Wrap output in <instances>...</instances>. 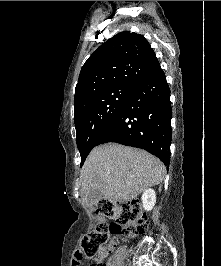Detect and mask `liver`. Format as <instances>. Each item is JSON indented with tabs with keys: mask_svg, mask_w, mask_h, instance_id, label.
Listing matches in <instances>:
<instances>
[{
	"mask_svg": "<svg viewBox=\"0 0 221 266\" xmlns=\"http://www.w3.org/2000/svg\"><path fill=\"white\" fill-rule=\"evenodd\" d=\"M165 173L164 164L146 151L108 143L88 155L81 173V193L86 197L98 189L109 201H128L160 184Z\"/></svg>",
	"mask_w": 221,
	"mask_h": 266,
	"instance_id": "6515ba94",
	"label": "liver"
}]
</instances>
